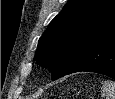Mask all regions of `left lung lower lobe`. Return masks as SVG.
Instances as JSON below:
<instances>
[{
	"label": "left lung lower lobe",
	"instance_id": "obj_1",
	"mask_svg": "<svg viewBox=\"0 0 115 99\" xmlns=\"http://www.w3.org/2000/svg\"><path fill=\"white\" fill-rule=\"evenodd\" d=\"M80 71L96 72L115 79V26L95 41L63 76Z\"/></svg>",
	"mask_w": 115,
	"mask_h": 99
}]
</instances>
